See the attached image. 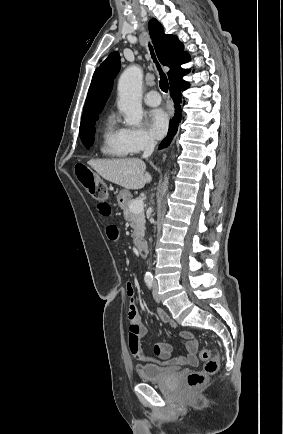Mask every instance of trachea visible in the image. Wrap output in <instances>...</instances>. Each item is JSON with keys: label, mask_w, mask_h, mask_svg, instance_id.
<instances>
[{"label": "trachea", "mask_w": 283, "mask_h": 434, "mask_svg": "<svg viewBox=\"0 0 283 434\" xmlns=\"http://www.w3.org/2000/svg\"><path fill=\"white\" fill-rule=\"evenodd\" d=\"M149 49H150V53H151L152 59L155 62L156 66H157V69L159 71V74H160V81H159L160 88H161V90L163 92L167 93L168 92V88H169L168 79H167L165 73L162 71L161 66H160V64L158 63V61H157V59L155 57L153 47L150 44H149Z\"/></svg>", "instance_id": "trachea-1"}]
</instances>
